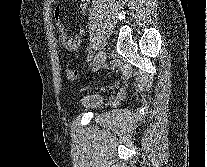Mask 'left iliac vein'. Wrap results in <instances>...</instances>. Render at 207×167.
<instances>
[{
	"mask_svg": "<svg viewBox=\"0 0 207 167\" xmlns=\"http://www.w3.org/2000/svg\"><path fill=\"white\" fill-rule=\"evenodd\" d=\"M107 54L104 50H100L93 61V70H99L106 62Z\"/></svg>",
	"mask_w": 207,
	"mask_h": 167,
	"instance_id": "4c4485c4",
	"label": "left iliac vein"
}]
</instances>
